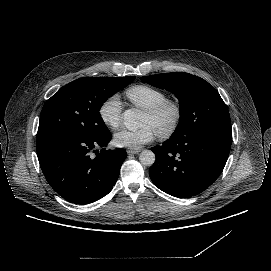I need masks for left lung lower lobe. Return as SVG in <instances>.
<instances>
[{
	"label": "left lung lower lobe",
	"instance_id": "obj_1",
	"mask_svg": "<svg viewBox=\"0 0 271 271\" xmlns=\"http://www.w3.org/2000/svg\"><path fill=\"white\" fill-rule=\"evenodd\" d=\"M231 128L206 127L172 136L152 147V182L165 193L190 198L206 190L221 174L231 148Z\"/></svg>",
	"mask_w": 271,
	"mask_h": 271
}]
</instances>
